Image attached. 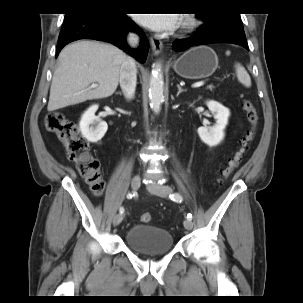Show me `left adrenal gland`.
<instances>
[{
  "label": "left adrenal gland",
  "instance_id": "1",
  "mask_svg": "<svg viewBox=\"0 0 303 303\" xmlns=\"http://www.w3.org/2000/svg\"><path fill=\"white\" fill-rule=\"evenodd\" d=\"M177 88H178V92H177V96L182 93L183 91H186L184 89H182V87L180 85H177Z\"/></svg>",
  "mask_w": 303,
  "mask_h": 303
}]
</instances>
